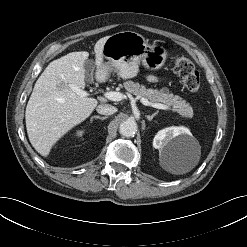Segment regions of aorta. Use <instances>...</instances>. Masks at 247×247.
I'll use <instances>...</instances> for the list:
<instances>
[{"label": "aorta", "instance_id": "obj_1", "mask_svg": "<svg viewBox=\"0 0 247 247\" xmlns=\"http://www.w3.org/2000/svg\"><path fill=\"white\" fill-rule=\"evenodd\" d=\"M137 131V124L134 120L123 121L119 126V132L125 137H132Z\"/></svg>", "mask_w": 247, "mask_h": 247}]
</instances>
